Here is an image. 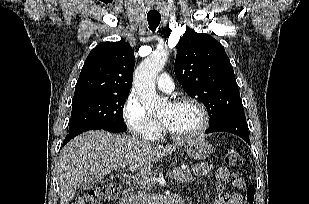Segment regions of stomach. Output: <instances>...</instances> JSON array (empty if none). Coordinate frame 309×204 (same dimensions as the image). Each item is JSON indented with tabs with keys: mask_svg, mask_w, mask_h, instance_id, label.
<instances>
[{
	"mask_svg": "<svg viewBox=\"0 0 309 204\" xmlns=\"http://www.w3.org/2000/svg\"><path fill=\"white\" fill-rule=\"evenodd\" d=\"M184 150L190 158L204 160L212 153L213 147L204 138L195 137L187 141Z\"/></svg>",
	"mask_w": 309,
	"mask_h": 204,
	"instance_id": "stomach-1",
	"label": "stomach"
}]
</instances>
